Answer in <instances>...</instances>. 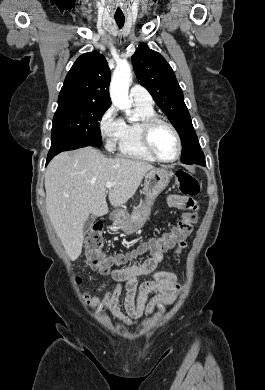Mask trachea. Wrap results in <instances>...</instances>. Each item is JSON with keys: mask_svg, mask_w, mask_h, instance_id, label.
I'll return each instance as SVG.
<instances>
[{"mask_svg": "<svg viewBox=\"0 0 265 390\" xmlns=\"http://www.w3.org/2000/svg\"><path fill=\"white\" fill-rule=\"evenodd\" d=\"M115 21H116L117 25L119 26V28H122L124 23H125L124 18H115Z\"/></svg>", "mask_w": 265, "mask_h": 390, "instance_id": "trachea-1", "label": "trachea"}]
</instances>
